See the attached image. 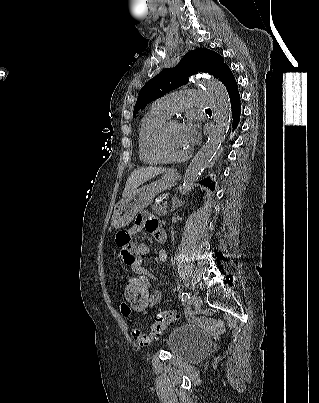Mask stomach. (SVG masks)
<instances>
[{"instance_id": "1", "label": "stomach", "mask_w": 319, "mask_h": 403, "mask_svg": "<svg viewBox=\"0 0 319 403\" xmlns=\"http://www.w3.org/2000/svg\"><path fill=\"white\" fill-rule=\"evenodd\" d=\"M178 178L177 173L167 171L161 179L136 188L126 199L115 206L112 227L118 229L129 225L135 215L146 208L156 195L175 186Z\"/></svg>"}]
</instances>
